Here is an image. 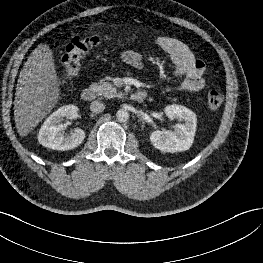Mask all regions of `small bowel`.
<instances>
[{"label": "small bowel", "instance_id": "c3829d8e", "mask_svg": "<svg viewBox=\"0 0 263 263\" xmlns=\"http://www.w3.org/2000/svg\"><path fill=\"white\" fill-rule=\"evenodd\" d=\"M155 43L169 54L175 65L172 76L183 77L182 88L184 90L198 92L204 88V62L197 59L183 41L169 36H159ZM121 58L123 62L132 67L141 69L144 66L142 55L136 51H124Z\"/></svg>", "mask_w": 263, "mask_h": 263}]
</instances>
